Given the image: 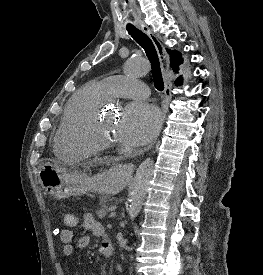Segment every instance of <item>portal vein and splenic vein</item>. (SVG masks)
I'll list each match as a JSON object with an SVG mask.
<instances>
[{
	"label": "portal vein and splenic vein",
	"instance_id": "1",
	"mask_svg": "<svg viewBox=\"0 0 263 275\" xmlns=\"http://www.w3.org/2000/svg\"><path fill=\"white\" fill-rule=\"evenodd\" d=\"M115 215H116L115 211H112V212L110 213L109 217H110V218H113V217H115Z\"/></svg>",
	"mask_w": 263,
	"mask_h": 275
}]
</instances>
